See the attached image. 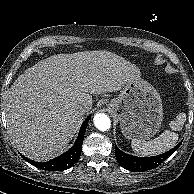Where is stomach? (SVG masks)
<instances>
[{
  "label": "stomach",
  "instance_id": "obj_1",
  "mask_svg": "<svg viewBox=\"0 0 194 194\" xmlns=\"http://www.w3.org/2000/svg\"><path fill=\"white\" fill-rule=\"evenodd\" d=\"M107 107L119 120L121 132L127 139L148 140L161 127L163 109L160 95L140 77L128 81Z\"/></svg>",
  "mask_w": 194,
  "mask_h": 194
}]
</instances>
